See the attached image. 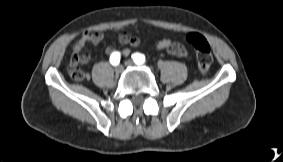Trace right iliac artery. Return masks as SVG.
I'll return each instance as SVG.
<instances>
[{"label":"right iliac artery","instance_id":"obj_1","mask_svg":"<svg viewBox=\"0 0 283 162\" xmlns=\"http://www.w3.org/2000/svg\"><path fill=\"white\" fill-rule=\"evenodd\" d=\"M121 55L119 52H113L110 55V62L112 65H118L120 62Z\"/></svg>","mask_w":283,"mask_h":162}]
</instances>
